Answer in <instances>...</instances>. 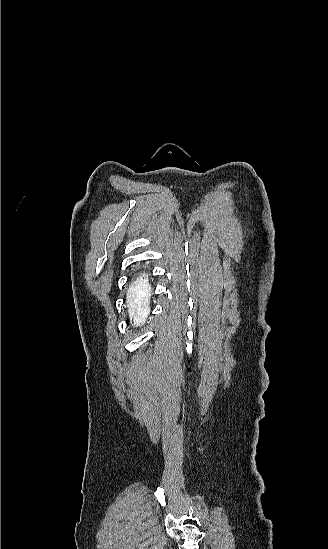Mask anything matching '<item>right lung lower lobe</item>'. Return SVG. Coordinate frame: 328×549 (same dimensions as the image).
<instances>
[{
    "instance_id": "1",
    "label": "right lung lower lobe",
    "mask_w": 328,
    "mask_h": 549,
    "mask_svg": "<svg viewBox=\"0 0 328 549\" xmlns=\"http://www.w3.org/2000/svg\"><path fill=\"white\" fill-rule=\"evenodd\" d=\"M135 290L138 292V294H143L147 292V277L145 274L139 275L134 283Z\"/></svg>"
}]
</instances>
